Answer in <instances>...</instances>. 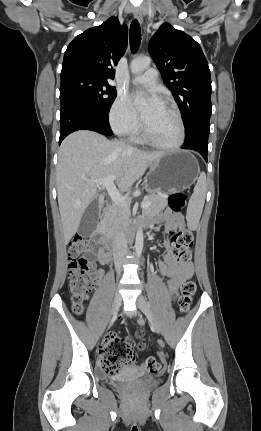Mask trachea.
Here are the masks:
<instances>
[{
	"mask_svg": "<svg viewBox=\"0 0 261 431\" xmlns=\"http://www.w3.org/2000/svg\"><path fill=\"white\" fill-rule=\"evenodd\" d=\"M130 48L134 53L139 49L141 43V28L139 22L134 19L130 25Z\"/></svg>",
	"mask_w": 261,
	"mask_h": 431,
	"instance_id": "trachea-1",
	"label": "trachea"
}]
</instances>
